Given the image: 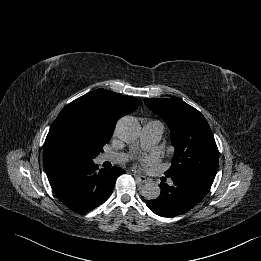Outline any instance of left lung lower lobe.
<instances>
[{"mask_svg":"<svg viewBox=\"0 0 261 261\" xmlns=\"http://www.w3.org/2000/svg\"><path fill=\"white\" fill-rule=\"evenodd\" d=\"M172 186L160 183L161 193L146 205L155 214L172 218L186 213L196 206L209 192L214 179L195 173H183L170 177Z\"/></svg>","mask_w":261,"mask_h":261,"instance_id":"left-lung-lower-lobe-1","label":"left lung lower lobe"}]
</instances>
